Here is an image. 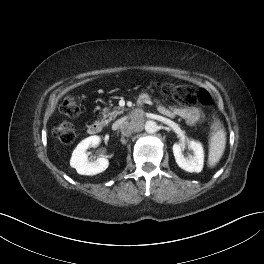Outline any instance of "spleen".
<instances>
[{
	"label": "spleen",
	"mask_w": 264,
	"mask_h": 264,
	"mask_svg": "<svg viewBox=\"0 0 264 264\" xmlns=\"http://www.w3.org/2000/svg\"><path fill=\"white\" fill-rule=\"evenodd\" d=\"M210 149L208 163L214 167L221 159L226 145V132L223 128H218L210 138Z\"/></svg>",
	"instance_id": "3e777b00"
}]
</instances>
